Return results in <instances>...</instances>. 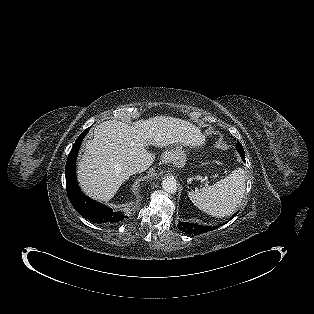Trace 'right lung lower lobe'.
I'll use <instances>...</instances> for the list:
<instances>
[{"mask_svg":"<svg viewBox=\"0 0 314 314\" xmlns=\"http://www.w3.org/2000/svg\"><path fill=\"white\" fill-rule=\"evenodd\" d=\"M88 131L89 128L78 137L67 159L65 177L68 198L75 210L82 217L89 219L90 222L109 224L122 221L126 218L123 212L113 211L111 208L91 200L81 192L78 186L75 175V162L80 144Z\"/></svg>","mask_w":314,"mask_h":314,"instance_id":"right-lung-lower-lobe-1","label":"right lung lower lobe"}]
</instances>
